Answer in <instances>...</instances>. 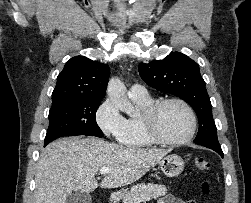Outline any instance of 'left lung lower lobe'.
Here are the masks:
<instances>
[{"mask_svg": "<svg viewBox=\"0 0 251 203\" xmlns=\"http://www.w3.org/2000/svg\"><path fill=\"white\" fill-rule=\"evenodd\" d=\"M210 149L216 151L221 157H223V152H222L221 147H218V148L212 147V148H210Z\"/></svg>", "mask_w": 251, "mask_h": 203, "instance_id": "obj_1", "label": "left lung lower lobe"}]
</instances>
